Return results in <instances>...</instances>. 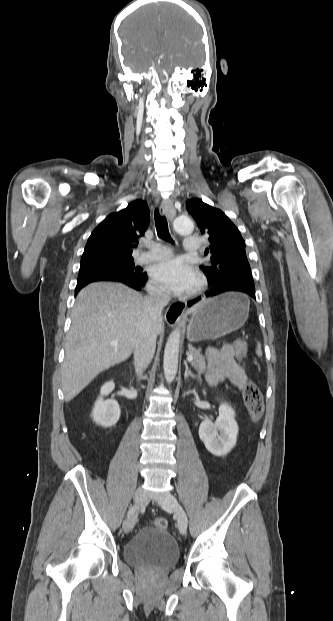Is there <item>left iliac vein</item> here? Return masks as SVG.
Here are the masks:
<instances>
[{"label":"left iliac vein","instance_id":"left-iliac-vein-1","mask_svg":"<svg viewBox=\"0 0 333 621\" xmlns=\"http://www.w3.org/2000/svg\"><path fill=\"white\" fill-rule=\"evenodd\" d=\"M160 506L167 511H173L177 516L178 528L181 534H186L188 519L187 515L177 499L170 493H166L159 499Z\"/></svg>","mask_w":333,"mask_h":621}]
</instances>
